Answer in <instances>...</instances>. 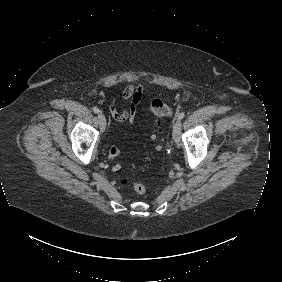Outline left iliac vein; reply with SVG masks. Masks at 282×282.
I'll use <instances>...</instances> for the list:
<instances>
[{"mask_svg": "<svg viewBox=\"0 0 282 282\" xmlns=\"http://www.w3.org/2000/svg\"><path fill=\"white\" fill-rule=\"evenodd\" d=\"M181 126H182L181 120H176L173 125L172 136H173V140L176 143H179L181 139Z\"/></svg>", "mask_w": 282, "mask_h": 282, "instance_id": "obj_1", "label": "left iliac vein"}]
</instances>
